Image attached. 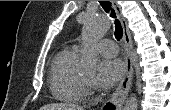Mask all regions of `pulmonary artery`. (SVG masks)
<instances>
[{
    "label": "pulmonary artery",
    "instance_id": "1",
    "mask_svg": "<svg viewBox=\"0 0 171 110\" xmlns=\"http://www.w3.org/2000/svg\"><path fill=\"white\" fill-rule=\"evenodd\" d=\"M97 48L99 52L106 57H113L118 53L117 44L110 39H102L98 42Z\"/></svg>",
    "mask_w": 171,
    "mask_h": 110
}]
</instances>
